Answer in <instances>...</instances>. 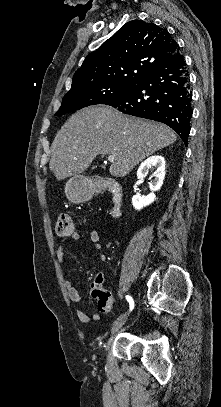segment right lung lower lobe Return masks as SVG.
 <instances>
[{"label": "right lung lower lobe", "instance_id": "1", "mask_svg": "<svg viewBox=\"0 0 221 407\" xmlns=\"http://www.w3.org/2000/svg\"><path fill=\"white\" fill-rule=\"evenodd\" d=\"M186 66L178 49L169 60L143 76L128 93L105 104L125 114L165 123L187 145L193 111Z\"/></svg>", "mask_w": 221, "mask_h": 407}]
</instances>
